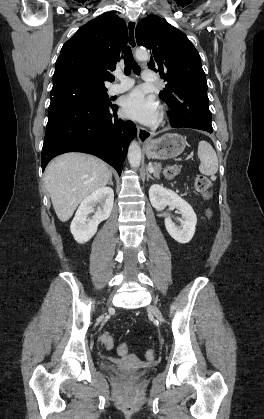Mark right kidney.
Instances as JSON below:
<instances>
[{
  "mask_svg": "<svg viewBox=\"0 0 264 419\" xmlns=\"http://www.w3.org/2000/svg\"><path fill=\"white\" fill-rule=\"evenodd\" d=\"M113 202L114 191L110 187L97 189L81 202L70 226L71 233L78 243H85L95 235L99 223L109 218ZM98 203L102 209H98L92 218H89V214Z\"/></svg>",
  "mask_w": 264,
  "mask_h": 419,
  "instance_id": "1",
  "label": "right kidney"
}]
</instances>
